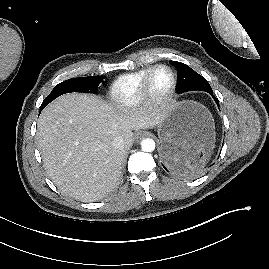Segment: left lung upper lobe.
Masks as SVG:
<instances>
[{
    "instance_id": "left-lung-upper-lobe-1",
    "label": "left lung upper lobe",
    "mask_w": 269,
    "mask_h": 269,
    "mask_svg": "<svg viewBox=\"0 0 269 269\" xmlns=\"http://www.w3.org/2000/svg\"><path fill=\"white\" fill-rule=\"evenodd\" d=\"M170 63L177 69L178 73V87L177 92L183 93L192 90H201L206 92H213L207 80L191 69L184 63L177 61H170Z\"/></svg>"
}]
</instances>
